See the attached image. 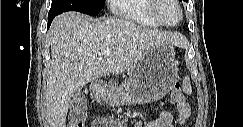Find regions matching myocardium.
Masks as SVG:
<instances>
[{"instance_id": "f54148a6", "label": "myocardium", "mask_w": 243, "mask_h": 127, "mask_svg": "<svg viewBox=\"0 0 243 127\" xmlns=\"http://www.w3.org/2000/svg\"><path fill=\"white\" fill-rule=\"evenodd\" d=\"M164 0H150L151 2V7H150V10H151V15L152 17L162 26H165V27H176L178 26L182 21H183V18H184V9L180 3L179 0H172L179 8V11H180V18L177 22L175 23H168L166 22L161 14H160V7L162 5Z\"/></svg>"}]
</instances>
